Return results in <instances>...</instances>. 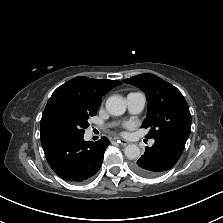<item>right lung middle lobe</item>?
<instances>
[{
  "instance_id": "dd1d6c3e",
  "label": "right lung middle lobe",
  "mask_w": 223,
  "mask_h": 223,
  "mask_svg": "<svg viewBox=\"0 0 223 223\" xmlns=\"http://www.w3.org/2000/svg\"><path fill=\"white\" fill-rule=\"evenodd\" d=\"M96 112L82 105H62L51 116V131L55 137L83 136L89 126L88 119Z\"/></svg>"
}]
</instances>
